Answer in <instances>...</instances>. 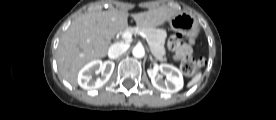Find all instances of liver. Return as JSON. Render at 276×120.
I'll use <instances>...</instances> for the list:
<instances>
[{
  "label": "liver",
  "instance_id": "6515ba94",
  "mask_svg": "<svg viewBox=\"0 0 276 120\" xmlns=\"http://www.w3.org/2000/svg\"><path fill=\"white\" fill-rule=\"evenodd\" d=\"M178 13L172 8L159 7L133 14L132 18L139 27H156ZM128 16L127 11H92L74 20L63 34L57 49L61 76L76 87L80 68L107 55L109 40L128 26Z\"/></svg>",
  "mask_w": 276,
  "mask_h": 120
}]
</instances>
